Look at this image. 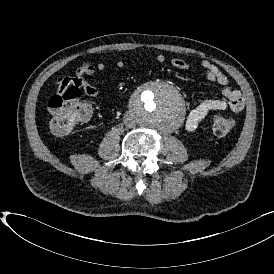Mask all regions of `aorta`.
I'll return each mask as SVG.
<instances>
[{
    "label": "aorta",
    "mask_w": 274,
    "mask_h": 274,
    "mask_svg": "<svg viewBox=\"0 0 274 274\" xmlns=\"http://www.w3.org/2000/svg\"><path fill=\"white\" fill-rule=\"evenodd\" d=\"M130 105L137 124L160 132L174 130L185 115V105L179 91L162 81L146 84L136 92Z\"/></svg>",
    "instance_id": "1"
}]
</instances>
